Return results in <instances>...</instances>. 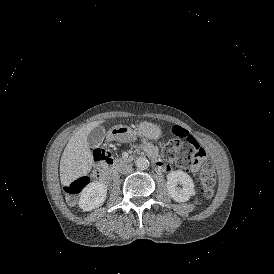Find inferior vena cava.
Returning <instances> with one entry per match:
<instances>
[{"instance_id":"602c4592","label":"inferior vena cava","mask_w":274,"mask_h":274,"mask_svg":"<svg viewBox=\"0 0 274 274\" xmlns=\"http://www.w3.org/2000/svg\"><path fill=\"white\" fill-rule=\"evenodd\" d=\"M132 171V166L130 164H124L120 167L119 172L126 174Z\"/></svg>"}]
</instances>
